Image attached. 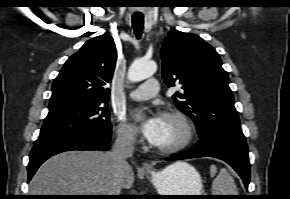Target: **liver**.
<instances>
[{"instance_id": "liver-1", "label": "liver", "mask_w": 290, "mask_h": 199, "mask_svg": "<svg viewBox=\"0 0 290 199\" xmlns=\"http://www.w3.org/2000/svg\"><path fill=\"white\" fill-rule=\"evenodd\" d=\"M115 167L109 152L69 151L47 160L30 183L31 195H109ZM134 172L124 170L121 188L130 189Z\"/></svg>"}]
</instances>
